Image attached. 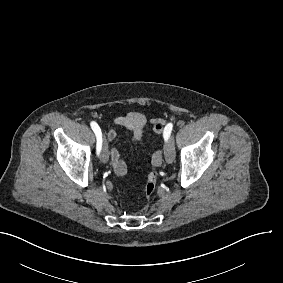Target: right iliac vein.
Wrapping results in <instances>:
<instances>
[{
	"instance_id": "63e3f726",
	"label": "right iliac vein",
	"mask_w": 283,
	"mask_h": 283,
	"mask_svg": "<svg viewBox=\"0 0 283 283\" xmlns=\"http://www.w3.org/2000/svg\"><path fill=\"white\" fill-rule=\"evenodd\" d=\"M108 159H109V153H108V149H107L106 138L104 136L102 152H101V161L106 163L108 161Z\"/></svg>"
}]
</instances>
